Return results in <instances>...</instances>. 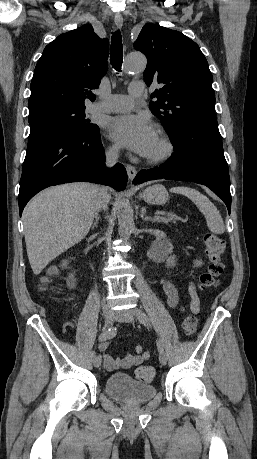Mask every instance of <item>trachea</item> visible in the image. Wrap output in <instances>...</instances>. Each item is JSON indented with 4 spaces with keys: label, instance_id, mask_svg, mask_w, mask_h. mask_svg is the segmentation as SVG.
I'll return each instance as SVG.
<instances>
[{
    "label": "trachea",
    "instance_id": "3493384b",
    "mask_svg": "<svg viewBox=\"0 0 257 459\" xmlns=\"http://www.w3.org/2000/svg\"><path fill=\"white\" fill-rule=\"evenodd\" d=\"M110 61L112 67L118 72H120L123 61L122 36L120 31H116L112 35Z\"/></svg>",
    "mask_w": 257,
    "mask_h": 459
}]
</instances>
